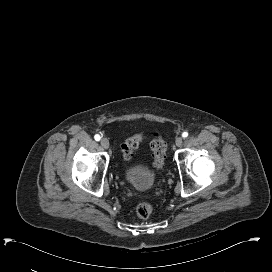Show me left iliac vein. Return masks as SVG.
Masks as SVG:
<instances>
[{"label": "left iliac vein", "mask_w": 272, "mask_h": 272, "mask_svg": "<svg viewBox=\"0 0 272 272\" xmlns=\"http://www.w3.org/2000/svg\"><path fill=\"white\" fill-rule=\"evenodd\" d=\"M176 146L180 147L183 144V138L182 137H177L175 140Z\"/></svg>", "instance_id": "1"}]
</instances>
